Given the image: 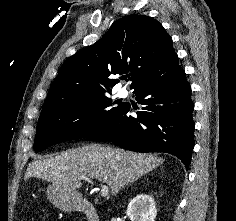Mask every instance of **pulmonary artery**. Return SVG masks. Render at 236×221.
Instances as JSON below:
<instances>
[{"label": "pulmonary artery", "instance_id": "1", "mask_svg": "<svg viewBox=\"0 0 236 221\" xmlns=\"http://www.w3.org/2000/svg\"><path fill=\"white\" fill-rule=\"evenodd\" d=\"M127 95H128V91H127L126 88H121V89L119 90V96H120V97H126Z\"/></svg>", "mask_w": 236, "mask_h": 221}]
</instances>
